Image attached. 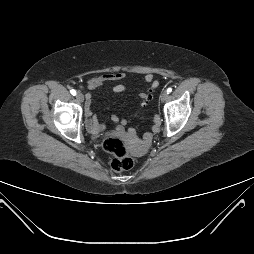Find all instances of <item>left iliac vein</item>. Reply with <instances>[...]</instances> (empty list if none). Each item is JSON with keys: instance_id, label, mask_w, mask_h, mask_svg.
Instances as JSON below:
<instances>
[{"instance_id": "1", "label": "left iliac vein", "mask_w": 254, "mask_h": 254, "mask_svg": "<svg viewBox=\"0 0 254 254\" xmlns=\"http://www.w3.org/2000/svg\"><path fill=\"white\" fill-rule=\"evenodd\" d=\"M168 99V93L166 91H164L161 95H160V100L162 102H165Z\"/></svg>"}]
</instances>
